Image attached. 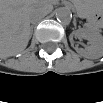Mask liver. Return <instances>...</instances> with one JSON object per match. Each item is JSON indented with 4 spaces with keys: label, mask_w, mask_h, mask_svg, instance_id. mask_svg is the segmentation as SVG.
Listing matches in <instances>:
<instances>
[{
    "label": "liver",
    "mask_w": 103,
    "mask_h": 103,
    "mask_svg": "<svg viewBox=\"0 0 103 103\" xmlns=\"http://www.w3.org/2000/svg\"><path fill=\"white\" fill-rule=\"evenodd\" d=\"M52 4L39 0H5L1 2V56L22 52L31 38L30 15L48 13Z\"/></svg>",
    "instance_id": "liver-1"
}]
</instances>
